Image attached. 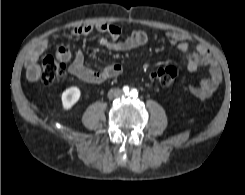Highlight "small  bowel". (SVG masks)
<instances>
[{
	"instance_id": "small-bowel-1",
	"label": "small bowel",
	"mask_w": 245,
	"mask_h": 195,
	"mask_svg": "<svg viewBox=\"0 0 245 195\" xmlns=\"http://www.w3.org/2000/svg\"><path fill=\"white\" fill-rule=\"evenodd\" d=\"M71 33L77 36H89L94 33L103 34L105 37L100 38V43L105 48L114 51L138 48L144 46L148 41V36L143 30H135L124 37L121 28L113 24L83 25L73 28ZM167 41L182 53L189 71L195 72L200 66L208 67V76L202 79L197 87H190L188 91L199 99L209 97L222 80L221 67L210 49L202 43H197L195 49L192 50L188 42L189 39L177 32L167 34ZM47 47L48 41L43 39L35 44L27 55L25 61L26 75L30 81H36L39 78L38 60ZM56 54L58 59L64 62L71 60L69 65L70 74L87 83L99 84L118 76L122 72V67L117 63L108 64L98 70L89 68L85 65L81 50H77L73 54L68 47H60Z\"/></svg>"
}]
</instances>
